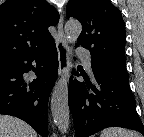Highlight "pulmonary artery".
<instances>
[{"mask_svg":"<svg viewBox=\"0 0 144 137\" xmlns=\"http://www.w3.org/2000/svg\"><path fill=\"white\" fill-rule=\"evenodd\" d=\"M77 54L84 60L85 66L89 72H91V55L87 50L78 48Z\"/></svg>","mask_w":144,"mask_h":137,"instance_id":"e3ab8cb5","label":"pulmonary artery"}]
</instances>
